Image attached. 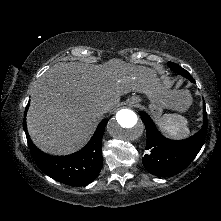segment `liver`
I'll return each mask as SVG.
<instances>
[{"mask_svg":"<svg viewBox=\"0 0 221 221\" xmlns=\"http://www.w3.org/2000/svg\"><path fill=\"white\" fill-rule=\"evenodd\" d=\"M166 91L153 69L120 59L99 65L59 62L39 78L32 91L28 132L43 152L69 154L88 142L103 115L99 109L105 105L113 110L120 96L129 92L162 98L166 108L185 111L180 97L166 96Z\"/></svg>","mask_w":221,"mask_h":221,"instance_id":"obj_1","label":"liver"}]
</instances>
